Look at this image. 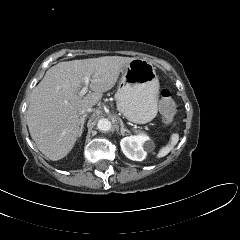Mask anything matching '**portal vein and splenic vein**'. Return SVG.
<instances>
[{
  "label": "portal vein and splenic vein",
  "mask_w": 240,
  "mask_h": 240,
  "mask_svg": "<svg viewBox=\"0 0 240 240\" xmlns=\"http://www.w3.org/2000/svg\"><path fill=\"white\" fill-rule=\"evenodd\" d=\"M83 82H84V86L81 89V91L79 92L80 96H84L88 92V85L90 83V77L85 76Z\"/></svg>",
  "instance_id": "18ae733b"
}]
</instances>
